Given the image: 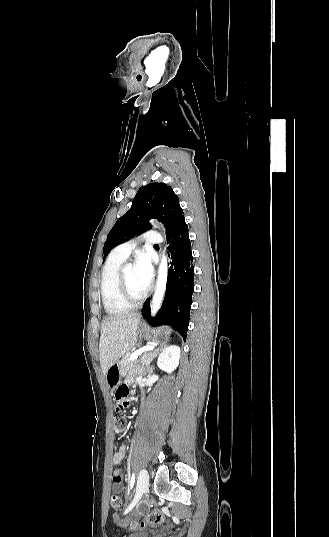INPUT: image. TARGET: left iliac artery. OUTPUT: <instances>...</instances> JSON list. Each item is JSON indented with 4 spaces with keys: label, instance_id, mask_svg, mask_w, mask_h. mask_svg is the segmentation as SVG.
<instances>
[{
    "label": "left iliac artery",
    "instance_id": "obj_1",
    "mask_svg": "<svg viewBox=\"0 0 329 537\" xmlns=\"http://www.w3.org/2000/svg\"><path fill=\"white\" fill-rule=\"evenodd\" d=\"M134 483H135V473L133 472L131 479L129 480V489H128L129 492L132 490Z\"/></svg>",
    "mask_w": 329,
    "mask_h": 537
}]
</instances>
